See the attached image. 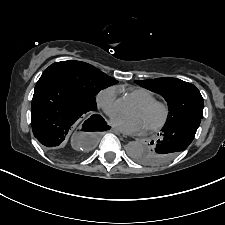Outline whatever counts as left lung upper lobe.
I'll return each instance as SVG.
<instances>
[{
    "mask_svg": "<svg viewBox=\"0 0 225 225\" xmlns=\"http://www.w3.org/2000/svg\"><path fill=\"white\" fill-rule=\"evenodd\" d=\"M135 82L146 89L160 93L167 101L169 114L164 127L184 119L203 117V98L193 84L170 77ZM153 147L154 144L152 143L149 149L144 150L135 159L142 164L148 165V156Z\"/></svg>",
    "mask_w": 225,
    "mask_h": 225,
    "instance_id": "obj_1",
    "label": "left lung upper lobe"
}]
</instances>
